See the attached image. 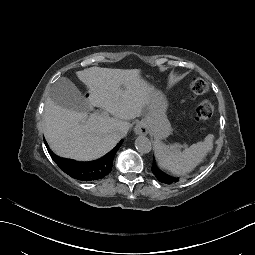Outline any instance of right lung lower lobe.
Returning <instances> with one entry per match:
<instances>
[{
	"instance_id": "obj_1",
	"label": "right lung lower lobe",
	"mask_w": 255,
	"mask_h": 255,
	"mask_svg": "<svg viewBox=\"0 0 255 255\" xmlns=\"http://www.w3.org/2000/svg\"><path fill=\"white\" fill-rule=\"evenodd\" d=\"M84 173H85L86 175H91V174L93 173V168H92L91 166H86V167L84 168Z\"/></svg>"
}]
</instances>
